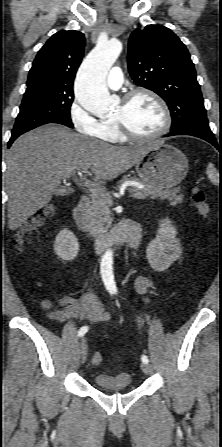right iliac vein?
<instances>
[{"instance_id":"obj_1","label":"right iliac vein","mask_w":222,"mask_h":447,"mask_svg":"<svg viewBox=\"0 0 222 447\" xmlns=\"http://www.w3.org/2000/svg\"><path fill=\"white\" fill-rule=\"evenodd\" d=\"M80 358H81V362L84 363L87 359V355H88V345H87V340L86 338H82L80 341Z\"/></svg>"}]
</instances>
